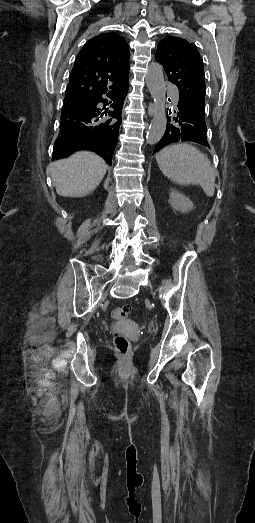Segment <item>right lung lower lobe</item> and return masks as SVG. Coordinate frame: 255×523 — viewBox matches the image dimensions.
I'll return each mask as SVG.
<instances>
[{
    "label": "right lung lower lobe",
    "mask_w": 255,
    "mask_h": 523,
    "mask_svg": "<svg viewBox=\"0 0 255 523\" xmlns=\"http://www.w3.org/2000/svg\"><path fill=\"white\" fill-rule=\"evenodd\" d=\"M79 117L83 119V141L85 143H92L99 139L100 125L97 123L100 120V104L93 101L89 104H82L79 107Z\"/></svg>",
    "instance_id": "obj_1"
}]
</instances>
